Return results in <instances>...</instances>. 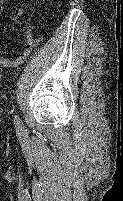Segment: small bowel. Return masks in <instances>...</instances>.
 <instances>
[{"instance_id": "obj_1", "label": "small bowel", "mask_w": 123, "mask_h": 201, "mask_svg": "<svg viewBox=\"0 0 123 201\" xmlns=\"http://www.w3.org/2000/svg\"><path fill=\"white\" fill-rule=\"evenodd\" d=\"M2 10H3V7L0 4V14L2 13ZM35 43H36V39L34 38L32 33L30 31L26 32L24 50L22 55H20L19 57L13 60L7 59L3 57L2 55H0V67L10 68V67H16L20 65L24 61L26 56L30 53Z\"/></svg>"}]
</instances>
